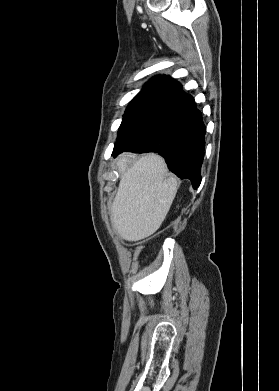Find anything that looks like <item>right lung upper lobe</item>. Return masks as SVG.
Wrapping results in <instances>:
<instances>
[{"instance_id": "cb5924a9", "label": "right lung upper lobe", "mask_w": 279, "mask_h": 391, "mask_svg": "<svg viewBox=\"0 0 279 391\" xmlns=\"http://www.w3.org/2000/svg\"><path fill=\"white\" fill-rule=\"evenodd\" d=\"M182 85L170 76H155L151 78L143 89L130 102L127 109L159 108L185 96ZM126 109V110H127Z\"/></svg>"}]
</instances>
